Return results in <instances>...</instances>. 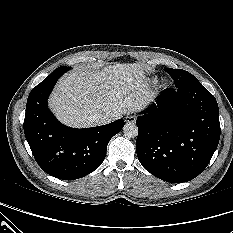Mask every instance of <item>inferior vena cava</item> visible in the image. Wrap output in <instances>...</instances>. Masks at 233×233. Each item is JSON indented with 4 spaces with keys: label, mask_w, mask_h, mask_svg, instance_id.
Wrapping results in <instances>:
<instances>
[{
    "label": "inferior vena cava",
    "mask_w": 233,
    "mask_h": 233,
    "mask_svg": "<svg viewBox=\"0 0 233 233\" xmlns=\"http://www.w3.org/2000/svg\"><path fill=\"white\" fill-rule=\"evenodd\" d=\"M93 119L99 125L107 124L112 121L111 117L108 114H97L93 116Z\"/></svg>",
    "instance_id": "1"
}]
</instances>
